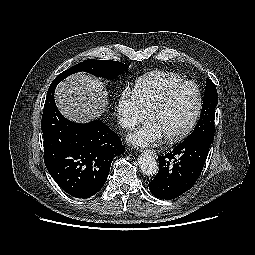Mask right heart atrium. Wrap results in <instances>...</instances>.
<instances>
[{
    "label": "right heart atrium",
    "mask_w": 255,
    "mask_h": 255,
    "mask_svg": "<svg viewBox=\"0 0 255 255\" xmlns=\"http://www.w3.org/2000/svg\"><path fill=\"white\" fill-rule=\"evenodd\" d=\"M116 116L121 127L132 129L146 119L147 113L129 88H123L116 103Z\"/></svg>",
    "instance_id": "d8ad5b80"
}]
</instances>
